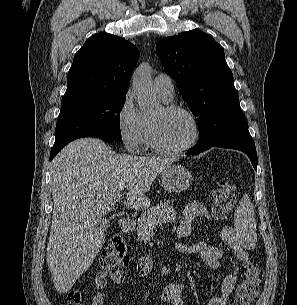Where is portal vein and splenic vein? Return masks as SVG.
<instances>
[{
  "mask_svg": "<svg viewBox=\"0 0 297 305\" xmlns=\"http://www.w3.org/2000/svg\"><path fill=\"white\" fill-rule=\"evenodd\" d=\"M120 198H121V195H117V196L114 198V201H115V202H118V201L120 200Z\"/></svg>",
  "mask_w": 297,
  "mask_h": 305,
  "instance_id": "1",
  "label": "portal vein and splenic vein"
}]
</instances>
